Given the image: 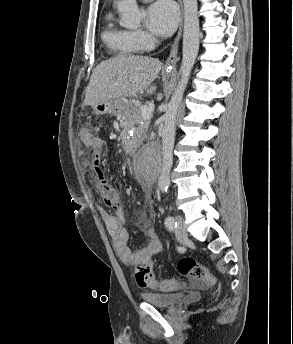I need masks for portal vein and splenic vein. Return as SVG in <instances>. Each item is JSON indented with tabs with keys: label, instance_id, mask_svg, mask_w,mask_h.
I'll use <instances>...</instances> for the list:
<instances>
[{
	"label": "portal vein and splenic vein",
	"instance_id": "18ae733b",
	"mask_svg": "<svg viewBox=\"0 0 293 344\" xmlns=\"http://www.w3.org/2000/svg\"><path fill=\"white\" fill-rule=\"evenodd\" d=\"M140 110L143 119H149L151 117L153 111L152 108L148 107L147 105H142L140 107Z\"/></svg>",
	"mask_w": 293,
	"mask_h": 344
}]
</instances>
